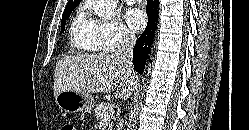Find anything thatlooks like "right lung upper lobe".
<instances>
[{
  "mask_svg": "<svg viewBox=\"0 0 249 130\" xmlns=\"http://www.w3.org/2000/svg\"><path fill=\"white\" fill-rule=\"evenodd\" d=\"M81 0H69L67 5H70V4H76V3H80Z\"/></svg>",
  "mask_w": 249,
  "mask_h": 130,
  "instance_id": "1",
  "label": "right lung upper lobe"
}]
</instances>
